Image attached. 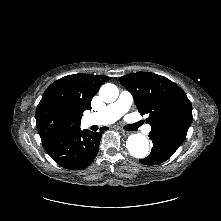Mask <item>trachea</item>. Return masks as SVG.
Returning <instances> with one entry per match:
<instances>
[{"label":"trachea","mask_w":221,"mask_h":221,"mask_svg":"<svg viewBox=\"0 0 221 221\" xmlns=\"http://www.w3.org/2000/svg\"><path fill=\"white\" fill-rule=\"evenodd\" d=\"M124 128H125V130H131L130 126H125Z\"/></svg>","instance_id":"trachea-1"}]
</instances>
